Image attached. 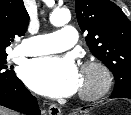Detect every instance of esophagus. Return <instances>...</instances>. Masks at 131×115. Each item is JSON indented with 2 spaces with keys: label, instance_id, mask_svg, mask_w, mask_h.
I'll use <instances>...</instances> for the list:
<instances>
[{
  "label": "esophagus",
  "instance_id": "esophagus-1",
  "mask_svg": "<svg viewBox=\"0 0 131 115\" xmlns=\"http://www.w3.org/2000/svg\"><path fill=\"white\" fill-rule=\"evenodd\" d=\"M48 113L49 115H61V110L57 105L51 104L49 106Z\"/></svg>",
  "mask_w": 131,
  "mask_h": 115
}]
</instances>
